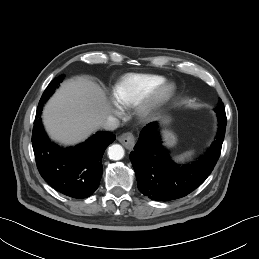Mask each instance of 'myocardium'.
<instances>
[{
  "label": "myocardium",
  "instance_id": "1",
  "mask_svg": "<svg viewBox=\"0 0 259 259\" xmlns=\"http://www.w3.org/2000/svg\"><path fill=\"white\" fill-rule=\"evenodd\" d=\"M175 93V85L164 82L136 102V115L142 121L152 119L158 114L172 99Z\"/></svg>",
  "mask_w": 259,
  "mask_h": 259
}]
</instances>
